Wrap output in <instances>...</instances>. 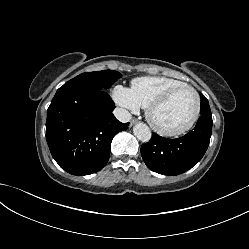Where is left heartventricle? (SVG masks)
Segmentation results:
<instances>
[{"label":"left heart ventricle","instance_id":"obj_1","mask_svg":"<svg viewBox=\"0 0 249 249\" xmlns=\"http://www.w3.org/2000/svg\"><path fill=\"white\" fill-rule=\"evenodd\" d=\"M196 99L192 91L181 90L153 113L155 122L166 130H176L186 125L195 111Z\"/></svg>","mask_w":249,"mask_h":249}]
</instances>
